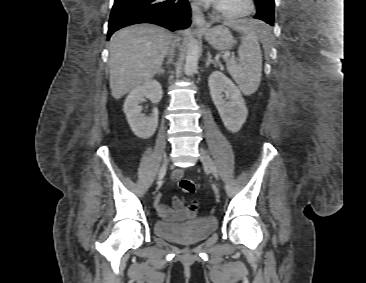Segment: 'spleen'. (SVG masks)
<instances>
[{
	"instance_id": "3e777b00",
	"label": "spleen",
	"mask_w": 366,
	"mask_h": 283,
	"mask_svg": "<svg viewBox=\"0 0 366 283\" xmlns=\"http://www.w3.org/2000/svg\"><path fill=\"white\" fill-rule=\"evenodd\" d=\"M243 23L247 30L241 38L238 50L239 62L230 59L226 61V66L241 92L244 95H251L258 89L261 81L262 53L258 43L260 24L254 20Z\"/></svg>"
}]
</instances>
